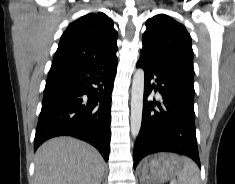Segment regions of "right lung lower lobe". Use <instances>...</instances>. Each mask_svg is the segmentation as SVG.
<instances>
[{"label":"right lung lower lobe","mask_w":235,"mask_h":184,"mask_svg":"<svg viewBox=\"0 0 235 184\" xmlns=\"http://www.w3.org/2000/svg\"><path fill=\"white\" fill-rule=\"evenodd\" d=\"M116 66L117 63L84 68L51 67L34 151L52 137L68 135L92 144L108 161L111 93Z\"/></svg>","instance_id":"1"}]
</instances>
